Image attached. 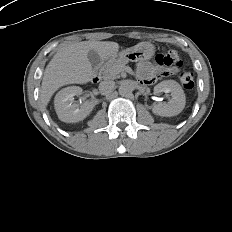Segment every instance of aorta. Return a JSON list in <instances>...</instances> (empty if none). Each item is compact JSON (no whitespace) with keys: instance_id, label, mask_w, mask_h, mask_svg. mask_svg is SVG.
<instances>
[{"instance_id":"1","label":"aorta","mask_w":232,"mask_h":232,"mask_svg":"<svg viewBox=\"0 0 232 232\" xmlns=\"http://www.w3.org/2000/svg\"><path fill=\"white\" fill-rule=\"evenodd\" d=\"M132 92V87L126 83L123 82L120 86H119V94L122 96H127Z\"/></svg>"}]
</instances>
